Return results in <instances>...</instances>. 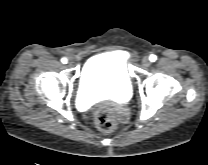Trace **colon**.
<instances>
[{
	"instance_id": "colon-1",
	"label": "colon",
	"mask_w": 208,
	"mask_h": 165,
	"mask_svg": "<svg viewBox=\"0 0 208 165\" xmlns=\"http://www.w3.org/2000/svg\"><path fill=\"white\" fill-rule=\"evenodd\" d=\"M95 125L102 132H112L116 129V117L110 106L104 105L96 110Z\"/></svg>"
}]
</instances>
